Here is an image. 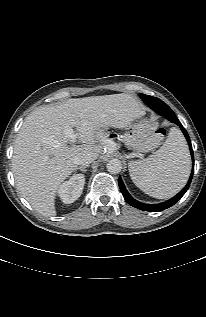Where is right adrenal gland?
I'll list each match as a JSON object with an SVG mask.
<instances>
[{
  "label": "right adrenal gland",
  "instance_id": "1",
  "mask_svg": "<svg viewBox=\"0 0 206 317\" xmlns=\"http://www.w3.org/2000/svg\"><path fill=\"white\" fill-rule=\"evenodd\" d=\"M89 167V165H84V166H81V167H78L76 170H81L82 172H86V168Z\"/></svg>",
  "mask_w": 206,
  "mask_h": 317
}]
</instances>
